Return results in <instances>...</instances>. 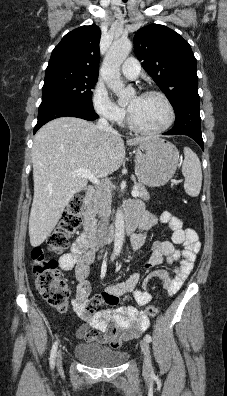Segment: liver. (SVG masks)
Masks as SVG:
<instances>
[{"instance_id": "6515ba94", "label": "liver", "mask_w": 227, "mask_h": 396, "mask_svg": "<svg viewBox=\"0 0 227 396\" xmlns=\"http://www.w3.org/2000/svg\"><path fill=\"white\" fill-rule=\"evenodd\" d=\"M152 137L127 140L139 145ZM124 141L117 132H103L91 122L61 117L45 124L35 135L32 148L34 197L29 218L33 247L41 245L55 228L74 194L88 179L72 176L83 168L95 177H107L125 158Z\"/></svg>"}]
</instances>
